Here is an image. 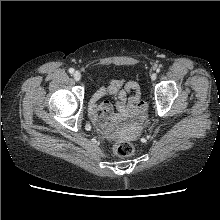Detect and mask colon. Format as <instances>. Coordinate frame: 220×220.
Masks as SVG:
<instances>
[{"label":"colon","instance_id":"1","mask_svg":"<svg viewBox=\"0 0 220 220\" xmlns=\"http://www.w3.org/2000/svg\"><path fill=\"white\" fill-rule=\"evenodd\" d=\"M112 151L117 157H130L134 154V146L126 141L116 140L112 143Z\"/></svg>","mask_w":220,"mask_h":220}]
</instances>
